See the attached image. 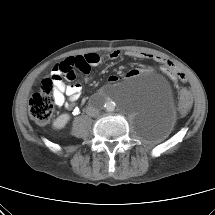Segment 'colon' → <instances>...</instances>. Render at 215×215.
<instances>
[{
  "label": "colon",
  "instance_id": "colon-1",
  "mask_svg": "<svg viewBox=\"0 0 215 215\" xmlns=\"http://www.w3.org/2000/svg\"><path fill=\"white\" fill-rule=\"evenodd\" d=\"M81 70H87L81 67ZM76 69L73 64L67 60L55 68V73L42 81L40 91L33 94L30 100V115L38 123H47L54 112V81L65 77L67 79L75 78ZM168 73L176 79L182 80L184 74L175 67L168 65ZM191 103L190 96L187 92H183L179 102V112L184 114Z\"/></svg>",
  "mask_w": 215,
  "mask_h": 215
}]
</instances>
